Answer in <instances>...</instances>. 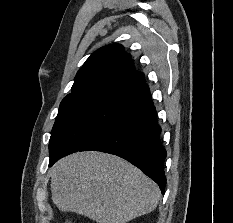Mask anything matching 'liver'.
I'll list each match as a JSON object with an SVG mask.
<instances>
[{
  "label": "liver",
  "instance_id": "6515ba94",
  "mask_svg": "<svg viewBox=\"0 0 233 223\" xmlns=\"http://www.w3.org/2000/svg\"><path fill=\"white\" fill-rule=\"evenodd\" d=\"M52 201L96 223H127L150 213L160 189L138 167L110 153L76 151L49 169Z\"/></svg>",
  "mask_w": 233,
  "mask_h": 223
}]
</instances>
